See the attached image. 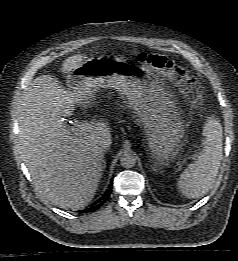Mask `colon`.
I'll list each match as a JSON object with an SVG mask.
<instances>
[{
	"label": "colon",
	"mask_w": 238,
	"mask_h": 261,
	"mask_svg": "<svg viewBox=\"0 0 238 261\" xmlns=\"http://www.w3.org/2000/svg\"><path fill=\"white\" fill-rule=\"evenodd\" d=\"M137 60L159 71L167 77L184 95L186 101L196 108H201L203 96L197 78L184 66L158 54L141 52Z\"/></svg>",
	"instance_id": "colon-1"
}]
</instances>
